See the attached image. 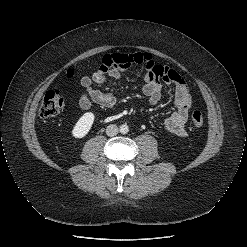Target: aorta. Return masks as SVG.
<instances>
[{
	"mask_svg": "<svg viewBox=\"0 0 247 247\" xmlns=\"http://www.w3.org/2000/svg\"><path fill=\"white\" fill-rule=\"evenodd\" d=\"M120 132L122 134H127L129 132V127L126 124L120 126Z\"/></svg>",
	"mask_w": 247,
	"mask_h": 247,
	"instance_id": "1",
	"label": "aorta"
}]
</instances>
